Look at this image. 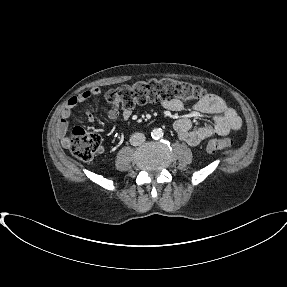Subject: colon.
Listing matches in <instances>:
<instances>
[{
	"label": "colon",
	"instance_id": "5ec220e1",
	"mask_svg": "<svg viewBox=\"0 0 287 287\" xmlns=\"http://www.w3.org/2000/svg\"><path fill=\"white\" fill-rule=\"evenodd\" d=\"M207 97L206 91L197 85L178 82L172 79L139 81L132 85H124L106 94V101L113 106L131 109L135 105H144L158 100H182L199 103ZM101 137L81 127L72 130L69 148L72 155L83 162L90 161L101 149ZM229 138H214L207 143L209 152H216L230 147Z\"/></svg>",
	"mask_w": 287,
	"mask_h": 287
}]
</instances>
